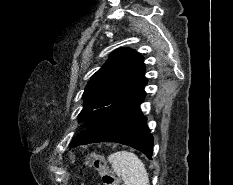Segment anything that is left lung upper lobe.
Listing matches in <instances>:
<instances>
[{
  "mask_svg": "<svg viewBox=\"0 0 233 185\" xmlns=\"http://www.w3.org/2000/svg\"><path fill=\"white\" fill-rule=\"evenodd\" d=\"M144 72L139 53L129 48L115 50L85 88L79 123L84 122L86 129L96 124L119 96L145 78Z\"/></svg>",
  "mask_w": 233,
  "mask_h": 185,
  "instance_id": "left-lung-upper-lobe-1",
  "label": "left lung upper lobe"
}]
</instances>
